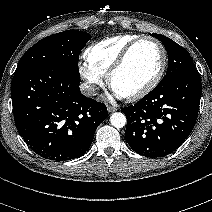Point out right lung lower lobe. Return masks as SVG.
<instances>
[{
	"label": "right lung lower lobe",
	"mask_w": 212,
	"mask_h": 212,
	"mask_svg": "<svg viewBox=\"0 0 212 212\" xmlns=\"http://www.w3.org/2000/svg\"><path fill=\"white\" fill-rule=\"evenodd\" d=\"M79 76L41 66L14 74L12 105L16 127L43 158L65 161L82 156L107 117L105 104L81 94Z\"/></svg>",
	"instance_id": "obj_1"
}]
</instances>
